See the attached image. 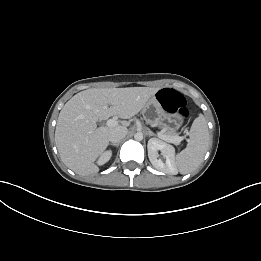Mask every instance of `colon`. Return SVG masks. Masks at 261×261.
<instances>
[{
	"instance_id": "1",
	"label": "colon",
	"mask_w": 261,
	"mask_h": 261,
	"mask_svg": "<svg viewBox=\"0 0 261 261\" xmlns=\"http://www.w3.org/2000/svg\"><path fill=\"white\" fill-rule=\"evenodd\" d=\"M157 99L165 111L186 118L189 114L183 95L171 88H164L157 93Z\"/></svg>"
}]
</instances>
